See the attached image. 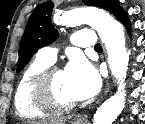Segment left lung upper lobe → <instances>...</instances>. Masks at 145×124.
Instances as JSON below:
<instances>
[{
  "label": "left lung upper lobe",
  "instance_id": "5c2ea615",
  "mask_svg": "<svg viewBox=\"0 0 145 124\" xmlns=\"http://www.w3.org/2000/svg\"><path fill=\"white\" fill-rule=\"evenodd\" d=\"M86 5L103 8L117 17L123 9L117 0H83ZM53 3L43 2L31 14L19 47L17 73H19L34 53L41 47L50 45L58 37L57 30L51 24Z\"/></svg>",
  "mask_w": 145,
  "mask_h": 124
}]
</instances>
